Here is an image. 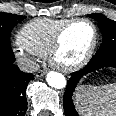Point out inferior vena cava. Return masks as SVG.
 Returning a JSON list of instances; mask_svg holds the SVG:
<instances>
[{
	"instance_id": "602c4592",
	"label": "inferior vena cava",
	"mask_w": 116,
	"mask_h": 116,
	"mask_svg": "<svg viewBox=\"0 0 116 116\" xmlns=\"http://www.w3.org/2000/svg\"><path fill=\"white\" fill-rule=\"evenodd\" d=\"M18 66L20 70L24 72H35L39 69L38 63L27 58H20L18 60Z\"/></svg>"
}]
</instances>
